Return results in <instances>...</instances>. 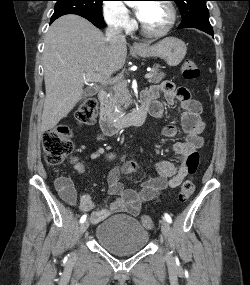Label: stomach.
I'll return each instance as SVG.
<instances>
[{"label":"stomach","instance_id":"obj_1","mask_svg":"<svg viewBox=\"0 0 250 285\" xmlns=\"http://www.w3.org/2000/svg\"><path fill=\"white\" fill-rule=\"evenodd\" d=\"M185 43L175 37H166L154 45L145 44L135 53L142 58L159 57L164 59L169 66H177L186 55Z\"/></svg>","mask_w":250,"mask_h":285}]
</instances>
